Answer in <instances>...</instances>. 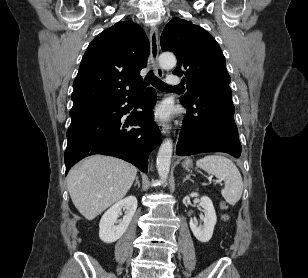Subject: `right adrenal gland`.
<instances>
[{
	"label": "right adrenal gland",
	"mask_w": 308,
	"mask_h": 278,
	"mask_svg": "<svg viewBox=\"0 0 308 278\" xmlns=\"http://www.w3.org/2000/svg\"><path fill=\"white\" fill-rule=\"evenodd\" d=\"M136 185H138V187L140 188V182H139L138 176H136V182H135V184H134V187H135Z\"/></svg>",
	"instance_id": "obj_1"
}]
</instances>
